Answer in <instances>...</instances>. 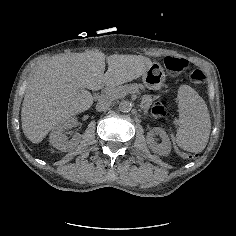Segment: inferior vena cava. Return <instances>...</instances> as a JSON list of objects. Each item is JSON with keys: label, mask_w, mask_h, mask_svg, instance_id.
<instances>
[{"label": "inferior vena cava", "mask_w": 236, "mask_h": 236, "mask_svg": "<svg viewBox=\"0 0 236 236\" xmlns=\"http://www.w3.org/2000/svg\"><path fill=\"white\" fill-rule=\"evenodd\" d=\"M110 105H111L110 102L101 101V102L97 103L96 110L97 111H105L110 107Z\"/></svg>", "instance_id": "1"}]
</instances>
